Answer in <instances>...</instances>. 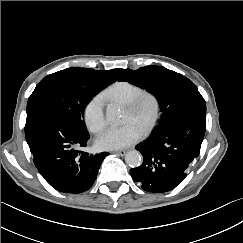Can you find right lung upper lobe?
Returning <instances> with one entry per match:
<instances>
[{
  "label": "right lung upper lobe",
  "mask_w": 243,
  "mask_h": 243,
  "mask_svg": "<svg viewBox=\"0 0 243 243\" xmlns=\"http://www.w3.org/2000/svg\"><path fill=\"white\" fill-rule=\"evenodd\" d=\"M68 69L74 71L82 79L108 81L110 84L115 82L123 71V69L93 70L79 67H71Z\"/></svg>",
  "instance_id": "1"
}]
</instances>
